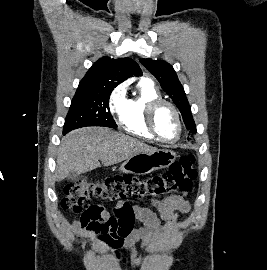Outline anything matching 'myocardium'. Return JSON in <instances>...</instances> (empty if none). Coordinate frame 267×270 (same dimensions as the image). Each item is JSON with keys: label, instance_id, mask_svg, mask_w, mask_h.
<instances>
[{"label": "myocardium", "instance_id": "myocardium-1", "mask_svg": "<svg viewBox=\"0 0 267 270\" xmlns=\"http://www.w3.org/2000/svg\"><path fill=\"white\" fill-rule=\"evenodd\" d=\"M162 106H168L169 108H171V110L174 112L176 119H177L178 134H177V137L171 141L166 140L163 137H161L160 134L158 133L156 125H155L156 113ZM145 122H146V126H147L149 132L153 135V137L157 141H159L161 143H164L167 145H174L180 140V138L182 136L183 123H182V118H181L180 112L173 103H171L167 100L156 99V100H153L152 102H150L147 106V109H146Z\"/></svg>", "mask_w": 267, "mask_h": 270}]
</instances>
